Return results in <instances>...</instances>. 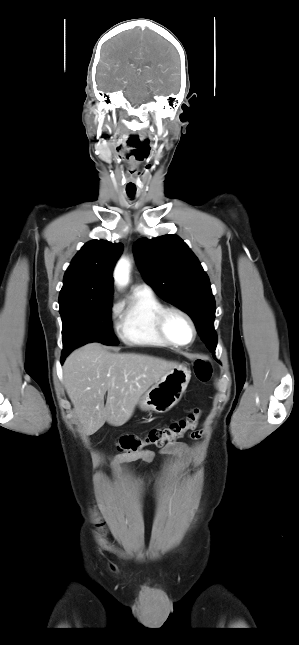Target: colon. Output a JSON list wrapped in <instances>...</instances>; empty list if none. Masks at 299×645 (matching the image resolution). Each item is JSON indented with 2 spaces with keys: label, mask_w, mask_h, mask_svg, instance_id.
I'll return each instance as SVG.
<instances>
[{
  "label": "colon",
  "mask_w": 299,
  "mask_h": 645,
  "mask_svg": "<svg viewBox=\"0 0 299 645\" xmlns=\"http://www.w3.org/2000/svg\"><path fill=\"white\" fill-rule=\"evenodd\" d=\"M194 373L201 382H208L212 376V366L207 359L201 358L195 362ZM201 417V410L196 408L183 418L173 421L160 428L151 429L145 436L135 434L122 436L118 443V450L125 456L138 454L146 446L163 447L183 437L187 432L196 428ZM103 523L100 522V526Z\"/></svg>",
  "instance_id": "obj_1"
}]
</instances>
